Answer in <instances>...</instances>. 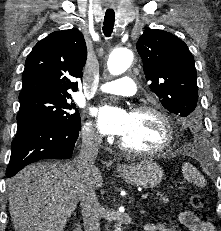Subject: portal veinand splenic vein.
<instances>
[{
	"label": "portal vein and splenic vein",
	"mask_w": 221,
	"mask_h": 231,
	"mask_svg": "<svg viewBox=\"0 0 221 231\" xmlns=\"http://www.w3.org/2000/svg\"><path fill=\"white\" fill-rule=\"evenodd\" d=\"M148 196H149V194H142V195H141V198H142V199H147Z\"/></svg>",
	"instance_id": "18ae733b"
}]
</instances>
